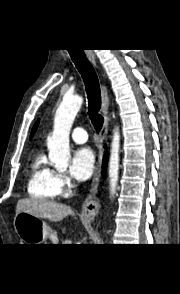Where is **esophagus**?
<instances>
[{"instance_id":"1","label":"esophagus","mask_w":180,"mask_h":294,"mask_svg":"<svg viewBox=\"0 0 180 294\" xmlns=\"http://www.w3.org/2000/svg\"><path fill=\"white\" fill-rule=\"evenodd\" d=\"M86 55L88 59L92 62V64L96 66V57L94 53L91 50H88L86 52ZM108 106H109L108 90H107V87L102 84L101 85V110L104 117V123H103L102 130L100 132V152H99L98 161L95 166V172H94L91 187L89 190V195L83 207V214L90 221L95 219V217L97 216L100 210L99 203L96 199V193L98 190V185H99L100 176H101V164H102L103 151H104L103 142L107 138V133L109 128Z\"/></svg>"}]
</instances>
